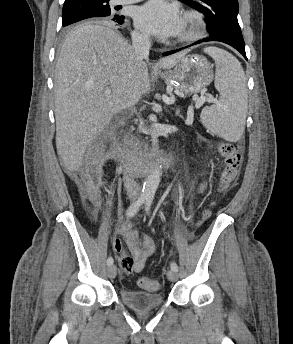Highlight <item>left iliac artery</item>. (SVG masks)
Here are the masks:
<instances>
[{
  "label": "left iliac artery",
  "mask_w": 293,
  "mask_h": 344,
  "mask_svg": "<svg viewBox=\"0 0 293 344\" xmlns=\"http://www.w3.org/2000/svg\"><path fill=\"white\" fill-rule=\"evenodd\" d=\"M152 200H153L152 196H148L147 199H146L145 209H146L147 213H149ZM170 267H171L172 270L178 271V265L175 262H172Z\"/></svg>",
  "instance_id": "obj_1"
}]
</instances>
